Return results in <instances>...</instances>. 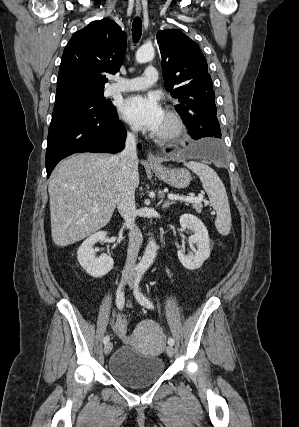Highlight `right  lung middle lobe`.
I'll return each instance as SVG.
<instances>
[{"label":"right lung middle lobe","instance_id":"obj_1","mask_svg":"<svg viewBox=\"0 0 299 427\" xmlns=\"http://www.w3.org/2000/svg\"><path fill=\"white\" fill-rule=\"evenodd\" d=\"M103 93L104 92L90 93L58 101L54 106L52 118L75 111L93 112L105 115L115 114V106L105 99Z\"/></svg>","mask_w":299,"mask_h":427}]
</instances>
